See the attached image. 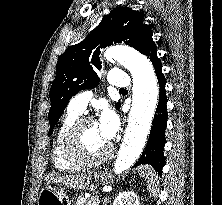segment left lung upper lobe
<instances>
[{
    "label": "left lung upper lobe",
    "mask_w": 222,
    "mask_h": 205,
    "mask_svg": "<svg viewBox=\"0 0 222 205\" xmlns=\"http://www.w3.org/2000/svg\"><path fill=\"white\" fill-rule=\"evenodd\" d=\"M152 35L151 27L144 23V14L129 7H117L103 17L100 24L81 42L72 45L60 55L56 77L50 89L51 108L49 135L57 124L70 98L80 90L99 84L100 48L124 42L141 52L146 39ZM95 67V68H94ZM120 103H116L119 109Z\"/></svg>",
    "instance_id": "5c2ea615"
}]
</instances>
